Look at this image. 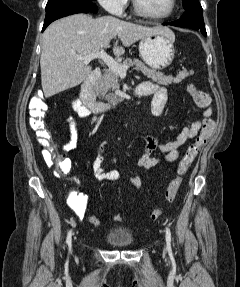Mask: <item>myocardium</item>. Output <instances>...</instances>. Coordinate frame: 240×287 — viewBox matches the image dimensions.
<instances>
[{"instance_id": "myocardium-1", "label": "myocardium", "mask_w": 240, "mask_h": 287, "mask_svg": "<svg viewBox=\"0 0 240 287\" xmlns=\"http://www.w3.org/2000/svg\"><path fill=\"white\" fill-rule=\"evenodd\" d=\"M132 3H133L134 11L138 15L145 17L147 19H150V20H157V21L165 20V19L171 17L174 14L176 7H177V1L176 0H170V7H169L167 12H165L163 14H152L149 11L145 10L140 5L139 0H132Z\"/></svg>"}]
</instances>
